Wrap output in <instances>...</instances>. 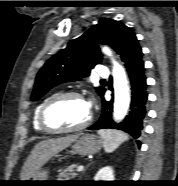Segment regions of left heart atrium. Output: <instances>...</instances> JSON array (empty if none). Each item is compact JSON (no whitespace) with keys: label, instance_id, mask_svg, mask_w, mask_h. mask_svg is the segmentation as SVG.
Returning a JSON list of instances; mask_svg holds the SVG:
<instances>
[{"label":"left heart atrium","instance_id":"39dd6f15","mask_svg":"<svg viewBox=\"0 0 178 186\" xmlns=\"http://www.w3.org/2000/svg\"><path fill=\"white\" fill-rule=\"evenodd\" d=\"M86 104H87L88 108L90 109L91 103L90 102H86Z\"/></svg>","mask_w":178,"mask_h":186}]
</instances>
